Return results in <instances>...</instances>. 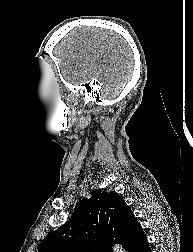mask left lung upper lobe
I'll return each mask as SVG.
<instances>
[{"label": "left lung upper lobe", "instance_id": "obj_1", "mask_svg": "<svg viewBox=\"0 0 193 252\" xmlns=\"http://www.w3.org/2000/svg\"><path fill=\"white\" fill-rule=\"evenodd\" d=\"M138 225L120 195L94 190L77 203L67 223L42 240L38 252H113L112 242L127 248Z\"/></svg>", "mask_w": 193, "mask_h": 252}]
</instances>
